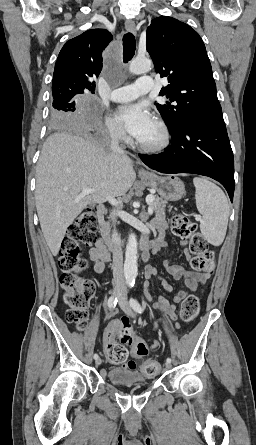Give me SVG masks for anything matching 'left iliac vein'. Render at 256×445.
<instances>
[{
  "instance_id": "4c4485c4",
  "label": "left iliac vein",
  "mask_w": 256,
  "mask_h": 445,
  "mask_svg": "<svg viewBox=\"0 0 256 445\" xmlns=\"http://www.w3.org/2000/svg\"><path fill=\"white\" fill-rule=\"evenodd\" d=\"M119 306L128 316H130L132 318L134 317L132 309L128 304L127 294L125 291H123L119 296ZM165 367H166V369H169L171 367V364L169 362H166Z\"/></svg>"
}]
</instances>
